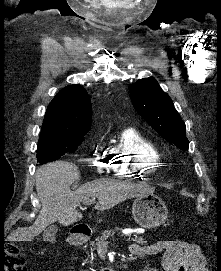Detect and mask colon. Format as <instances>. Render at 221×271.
<instances>
[{
	"label": "colon",
	"mask_w": 221,
	"mask_h": 271,
	"mask_svg": "<svg viewBox=\"0 0 221 271\" xmlns=\"http://www.w3.org/2000/svg\"><path fill=\"white\" fill-rule=\"evenodd\" d=\"M21 242L15 240L6 247L0 258V271H27L24 265L25 254L20 250Z\"/></svg>",
	"instance_id": "5ec220e1"
}]
</instances>
